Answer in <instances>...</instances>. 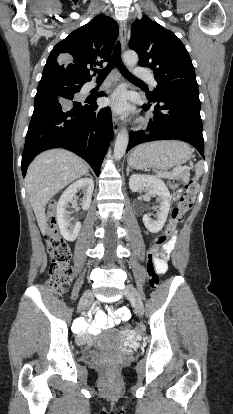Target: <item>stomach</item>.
Here are the masks:
<instances>
[{"label":"stomach","mask_w":233,"mask_h":414,"mask_svg":"<svg viewBox=\"0 0 233 414\" xmlns=\"http://www.w3.org/2000/svg\"><path fill=\"white\" fill-rule=\"evenodd\" d=\"M192 156L190 147L180 141H157L138 146L129 156L134 168L167 171L187 162Z\"/></svg>","instance_id":"obj_1"}]
</instances>
